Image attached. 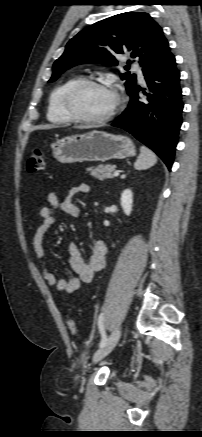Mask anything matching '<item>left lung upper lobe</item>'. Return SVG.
I'll list each match as a JSON object with an SVG mask.
<instances>
[{
  "instance_id": "1",
  "label": "left lung upper lobe",
  "mask_w": 202,
  "mask_h": 437,
  "mask_svg": "<svg viewBox=\"0 0 202 437\" xmlns=\"http://www.w3.org/2000/svg\"><path fill=\"white\" fill-rule=\"evenodd\" d=\"M167 45L162 28L148 13H121L99 21L73 37L63 55L55 61L49 82L55 81L65 70L82 63L116 66V54L129 53L132 58H138L144 70ZM120 76L125 80L127 93L130 94L136 86V76L129 73Z\"/></svg>"
}]
</instances>
